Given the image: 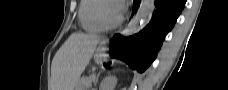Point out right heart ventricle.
<instances>
[{"instance_id":"e07e8e85","label":"right heart ventricle","mask_w":228,"mask_h":90,"mask_svg":"<svg viewBox=\"0 0 228 90\" xmlns=\"http://www.w3.org/2000/svg\"><path fill=\"white\" fill-rule=\"evenodd\" d=\"M101 0H82L78 17L82 28L87 32L97 33L104 30L96 19V8Z\"/></svg>"}]
</instances>
